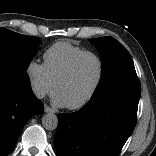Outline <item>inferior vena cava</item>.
<instances>
[{
	"instance_id": "inferior-vena-cava-1",
	"label": "inferior vena cava",
	"mask_w": 156,
	"mask_h": 156,
	"mask_svg": "<svg viewBox=\"0 0 156 156\" xmlns=\"http://www.w3.org/2000/svg\"><path fill=\"white\" fill-rule=\"evenodd\" d=\"M32 90L37 98L42 99L45 97L46 91L42 86H40L38 84H33Z\"/></svg>"
}]
</instances>
